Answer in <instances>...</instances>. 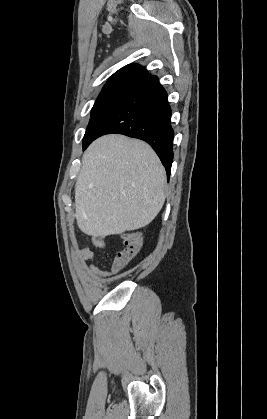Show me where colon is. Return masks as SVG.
Segmentation results:
<instances>
[{
  "instance_id": "obj_1",
  "label": "colon",
  "mask_w": 267,
  "mask_h": 419,
  "mask_svg": "<svg viewBox=\"0 0 267 419\" xmlns=\"http://www.w3.org/2000/svg\"><path fill=\"white\" fill-rule=\"evenodd\" d=\"M122 239L123 246L114 255V259L120 268L133 259L142 246V237L139 232H125L122 235Z\"/></svg>"
}]
</instances>
